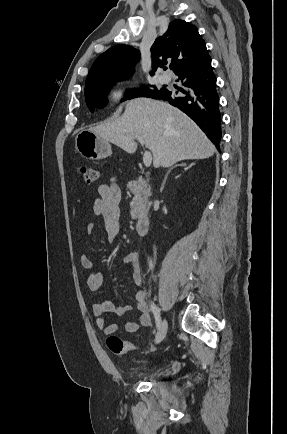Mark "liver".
Returning <instances> with one entry per match:
<instances>
[{
	"mask_svg": "<svg viewBox=\"0 0 287 434\" xmlns=\"http://www.w3.org/2000/svg\"><path fill=\"white\" fill-rule=\"evenodd\" d=\"M91 131L133 154L134 135L142 137L153 154L154 167H171L178 161L206 159L215 146L182 111L167 102L149 98L130 101L121 117Z\"/></svg>",
	"mask_w": 287,
	"mask_h": 434,
	"instance_id": "1",
	"label": "liver"
}]
</instances>
